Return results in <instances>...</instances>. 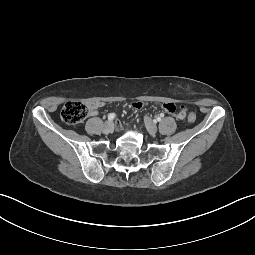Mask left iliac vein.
<instances>
[{"label": "left iliac vein", "mask_w": 255, "mask_h": 255, "mask_svg": "<svg viewBox=\"0 0 255 255\" xmlns=\"http://www.w3.org/2000/svg\"><path fill=\"white\" fill-rule=\"evenodd\" d=\"M144 122L149 134L155 135L157 133V126L154 121L150 117L145 116Z\"/></svg>", "instance_id": "obj_1"}]
</instances>
